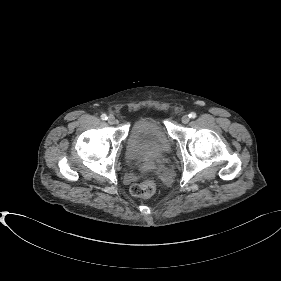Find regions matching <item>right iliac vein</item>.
Wrapping results in <instances>:
<instances>
[{
	"label": "right iliac vein",
	"instance_id": "obj_1",
	"mask_svg": "<svg viewBox=\"0 0 281 281\" xmlns=\"http://www.w3.org/2000/svg\"><path fill=\"white\" fill-rule=\"evenodd\" d=\"M115 122H116L115 117H114L113 115H110V116L108 117V123L111 124V125H113V124H115Z\"/></svg>",
	"mask_w": 281,
	"mask_h": 281
}]
</instances>
